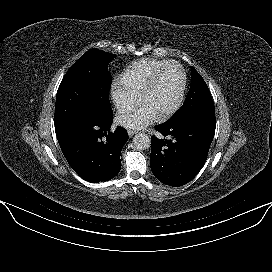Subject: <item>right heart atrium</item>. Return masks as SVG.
I'll return each mask as SVG.
<instances>
[{
	"mask_svg": "<svg viewBox=\"0 0 272 272\" xmlns=\"http://www.w3.org/2000/svg\"><path fill=\"white\" fill-rule=\"evenodd\" d=\"M111 97L118 111L131 109L139 99V94L125 87L121 81H115L111 87Z\"/></svg>",
	"mask_w": 272,
	"mask_h": 272,
	"instance_id": "obj_1",
	"label": "right heart atrium"
}]
</instances>
